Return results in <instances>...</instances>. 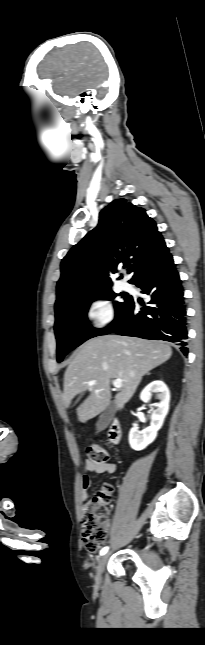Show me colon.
Segmentation results:
<instances>
[{"instance_id": "5ec220e1", "label": "colon", "mask_w": 205, "mask_h": 645, "mask_svg": "<svg viewBox=\"0 0 205 645\" xmlns=\"http://www.w3.org/2000/svg\"><path fill=\"white\" fill-rule=\"evenodd\" d=\"M88 461L94 465L105 464L109 454L99 444H90L86 448ZM112 487L105 485L83 504L81 520V538L86 551L95 553L105 542L108 534L107 506L111 500Z\"/></svg>"}]
</instances>
